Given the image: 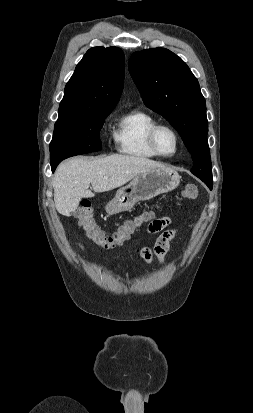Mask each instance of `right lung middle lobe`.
<instances>
[{"label": "right lung middle lobe", "instance_id": "1", "mask_svg": "<svg viewBox=\"0 0 253 413\" xmlns=\"http://www.w3.org/2000/svg\"><path fill=\"white\" fill-rule=\"evenodd\" d=\"M111 111L93 116L58 118L50 143V162L101 150L99 131Z\"/></svg>", "mask_w": 253, "mask_h": 413}]
</instances>
